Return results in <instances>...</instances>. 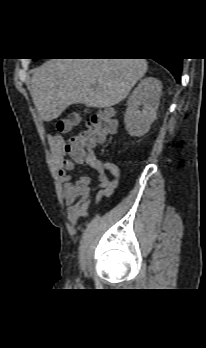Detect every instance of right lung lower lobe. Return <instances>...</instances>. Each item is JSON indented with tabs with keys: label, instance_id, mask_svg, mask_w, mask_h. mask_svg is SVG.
Segmentation results:
<instances>
[{
	"label": "right lung lower lobe",
	"instance_id": "98d812e1",
	"mask_svg": "<svg viewBox=\"0 0 206 348\" xmlns=\"http://www.w3.org/2000/svg\"><path fill=\"white\" fill-rule=\"evenodd\" d=\"M161 65H163L165 68H167L175 77L177 82H180V76L182 71V59H159L156 60Z\"/></svg>",
	"mask_w": 206,
	"mask_h": 348
}]
</instances>
